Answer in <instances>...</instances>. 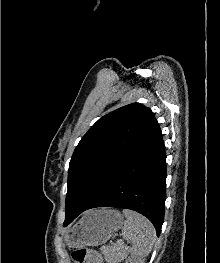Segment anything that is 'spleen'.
<instances>
[{
    "label": "spleen",
    "mask_w": 220,
    "mask_h": 263,
    "mask_svg": "<svg viewBox=\"0 0 220 263\" xmlns=\"http://www.w3.org/2000/svg\"><path fill=\"white\" fill-rule=\"evenodd\" d=\"M123 214L126 220L122 228V236L129 240L132 246L129 248L122 246V252L124 254L130 253L134 257L147 256L156 240V232L152 223L132 210L124 209Z\"/></svg>",
    "instance_id": "spleen-1"
}]
</instances>
